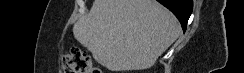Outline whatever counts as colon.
Here are the masks:
<instances>
[{
  "instance_id": "1",
  "label": "colon",
  "mask_w": 244,
  "mask_h": 73,
  "mask_svg": "<svg viewBox=\"0 0 244 73\" xmlns=\"http://www.w3.org/2000/svg\"><path fill=\"white\" fill-rule=\"evenodd\" d=\"M61 62L65 73H101L90 56L80 49H72L64 54Z\"/></svg>"
}]
</instances>
